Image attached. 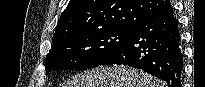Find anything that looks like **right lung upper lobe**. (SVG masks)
Returning <instances> with one entry per match:
<instances>
[{"instance_id":"right-lung-upper-lobe-1","label":"right lung upper lobe","mask_w":205,"mask_h":87,"mask_svg":"<svg viewBox=\"0 0 205 87\" xmlns=\"http://www.w3.org/2000/svg\"><path fill=\"white\" fill-rule=\"evenodd\" d=\"M171 7L168 0H70L53 43L79 33L107 28L135 30Z\"/></svg>"}]
</instances>
